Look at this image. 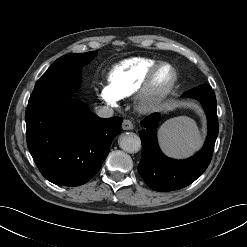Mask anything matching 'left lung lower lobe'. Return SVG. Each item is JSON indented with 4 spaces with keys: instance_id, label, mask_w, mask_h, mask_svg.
<instances>
[{
    "instance_id": "obj_1",
    "label": "left lung lower lobe",
    "mask_w": 247,
    "mask_h": 247,
    "mask_svg": "<svg viewBox=\"0 0 247 247\" xmlns=\"http://www.w3.org/2000/svg\"><path fill=\"white\" fill-rule=\"evenodd\" d=\"M183 95L202 103L208 119V136L203 148L193 157L173 160L161 152L157 143L158 114L154 113L141 122L144 129L139 132L142 157L138 171L145 183L155 191L167 192L186 187L203 174L212 158L218 135L215 93L209 85L203 84L186 91Z\"/></svg>"
}]
</instances>
